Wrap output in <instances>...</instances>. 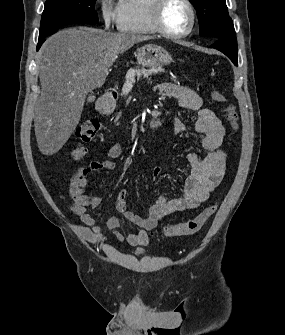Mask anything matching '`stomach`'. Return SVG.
I'll return each instance as SVG.
<instances>
[{
    "instance_id": "stomach-1",
    "label": "stomach",
    "mask_w": 285,
    "mask_h": 335,
    "mask_svg": "<svg viewBox=\"0 0 285 335\" xmlns=\"http://www.w3.org/2000/svg\"><path fill=\"white\" fill-rule=\"evenodd\" d=\"M138 64L146 66V68H152V66H168L173 62L172 56H170L167 50L161 48V46H154V44H147L139 48L136 54ZM109 106H114V102L110 98H102L101 108L106 112Z\"/></svg>"
}]
</instances>
